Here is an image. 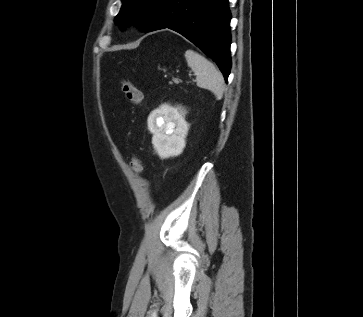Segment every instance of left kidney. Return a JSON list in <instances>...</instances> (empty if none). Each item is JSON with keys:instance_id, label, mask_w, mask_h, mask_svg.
<instances>
[{"instance_id": "1", "label": "left kidney", "mask_w": 363, "mask_h": 317, "mask_svg": "<svg viewBox=\"0 0 363 317\" xmlns=\"http://www.w3.org/2000/svg\"><path fill=\"white\" fill-rule=\"evenodd\" d=\"M148 127L153 133L152 144L160 157L178 156L183 152L188 125L177 109L167 104L160 106L149 116Z\"/></svg>"}]
</instances>
